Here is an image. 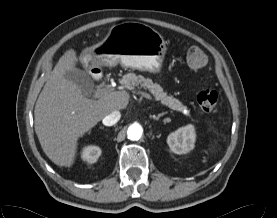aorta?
Segmentation results:
<instances>
[{
    "instance_id": "aorta-1",
    "label": "aorta",
    "mask_w": 277,
    "mask_h": 218,
    "mask_svg": "<svg viewBox=\"0 0 277 218\" xmlns=\"http://www.w3.org/2000/svg\"><path fill=\"white\" fill-rule=\"evenodd\" d=\"M142 133H143V129H142L141 125L138 123H134V124L130 125L127 130L128 139H130L132 141L139 140L142 136Z\"/></svg>"
}]
</instances>
